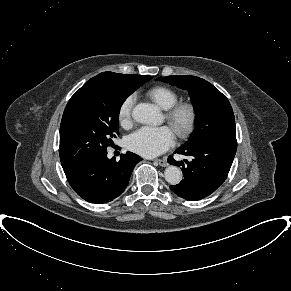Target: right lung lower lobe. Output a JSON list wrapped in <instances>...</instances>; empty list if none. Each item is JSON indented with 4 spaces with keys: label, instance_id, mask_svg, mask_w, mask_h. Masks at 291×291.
<instances>
[{
    "label": "right lung lower lobe",
    "instance_id": "1",
    "mask_svg": "<svg viewBox=\"0 0 291 291\" xmlns=\"http://www.w3.org/2000/svg\"><path fill=\"white\" fill-rule=\"evenodd\" d=\"M141 157L127 152L117 162L107 158V151L87 158L65 172L73 190L91 203H105L119 197L127 187Z\"/></svg>",
    "mask_w": 291,
    "mask_h": 291
}]
</instances>
